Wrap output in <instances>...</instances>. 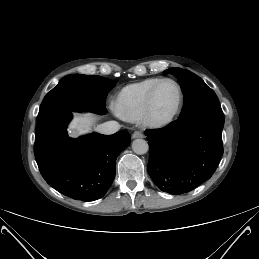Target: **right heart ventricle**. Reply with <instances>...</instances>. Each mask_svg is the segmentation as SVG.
I'll list each match as a JSON object with an SVG mask.
<instances>
[{"label":"right heart ventricle","instance_id":"1","mask_svg":"<svg viewBox=\"0 0 259 259\" xmlns=\"http://www.w3.org/2000/svg\"><path fill=\"white\" fill-rule=\"evenodd\" d=\"M160 79L157 77L146 78L122 88L116 99L117 112L127 120L139 119L143 114L151 88Z\"/></svg>","mask_w":259,"mask_h":259}]
</instances>
